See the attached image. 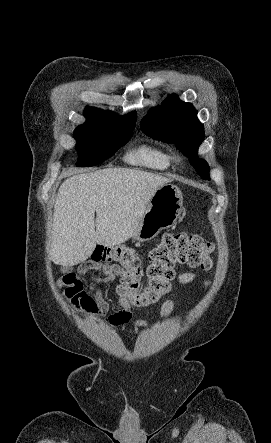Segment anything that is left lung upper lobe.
Segmentation results:
<instances>
[{
    "label": "left lung upper lobe",
    "instance_id": "obj_1",
    "mask_svg": "<svg viewBox=\"0 0 271 443\" xmlns=\"http://www.w3.org/2000/svg\"><path fill=\"white\" fill-rule=\"evenodd\" d=\"M196 115L197 110L191 103L170 95L142 119L141 129L156 140L175 143L190 159L199 176L210 180L207 162L198 158V147L204 139V127Z\"/></svg>",
    "mask_w": 271,
    "mask_h": 443
}]
</instances>
